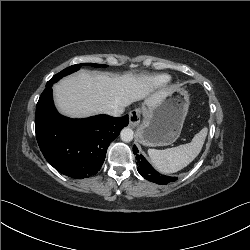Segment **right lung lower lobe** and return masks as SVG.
I'll return each instance as SVG.
<instances>
[{
	"label": "right lung lower lobe",
	"mask_w": 250,
	"mask_h": 250,
	"mask_svg": "<svg viewBox=\"0 0 250 250\" xmlns=\"http://www.w3.org/2000/svg\"><path fill=\"white\" fill-rule=\"evenodd\" d=\"M52 85H46L36 107L38 145L46 160L60 173L75 179L88 178L101 168L110 142L128 125V115L64 117L54 107Z\"/></svg>",
	"instance_id": "98d812e1"
}]
</instances>
